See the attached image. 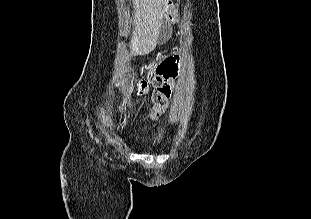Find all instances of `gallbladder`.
<instances>
[{
    "mask_svg": "<svg viewBox=\"0 0 311 219\" xmlns=\"http://www.w3.org/2000/svg\"><path fill=\"white\" fill-rule=\"evenodd\" d=\"M171 33H172V28H171L170 23L166 20H163L160 30H159L158 42L160 44H163L166 41H168L169 38L171 37Z\"/></svg>",
    "mask_w": 311,
    "mask_h": 219,
    "instance_id": "bac80fb5",
    "label": "gallbladder"
}]
</instances>
